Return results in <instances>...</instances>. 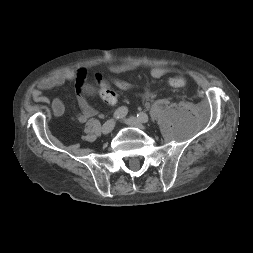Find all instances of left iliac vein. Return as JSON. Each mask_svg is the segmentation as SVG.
<instances>
[{
	"label": "left iliac vein",
	"instance_id": "4c4485c4",
	"mask_svg": "<svg viewBox=\"0 0 253 253\" xmlns=\"http://www.w3.org/2000/svg\"><path fill=\"white\" fill-rule=\"evenodd\" d=\"M147 121H149V117L147 116ZM126 121V124L127 125H130V126H133V127H137L139 129H143L144 128V125H143V122L139 119H137L136 117H129L127 119H125Z\"/></svg>",
	"mask_w": 253,
	"mask_h": 253
}]
</instances>
